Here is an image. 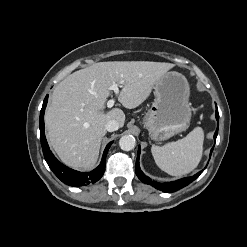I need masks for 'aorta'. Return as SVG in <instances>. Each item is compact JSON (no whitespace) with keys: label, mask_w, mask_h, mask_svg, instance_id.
Segmentation results:
<instances>
[{"label":"aorta","mask_w":247,"mask_h":247,"mask_svg":"<svg viewBox=\"0 0 247 247\" xmlns=\"http://www.w3.org/2000/svg\"><path fill=\"white\" fill-rule=\"evenodd\" d=\"M136 140L132 135H124L119 140V146L124 151H130L135 148Z\"/></svg>","instance_id":"762f6f07"}]
</instances>
